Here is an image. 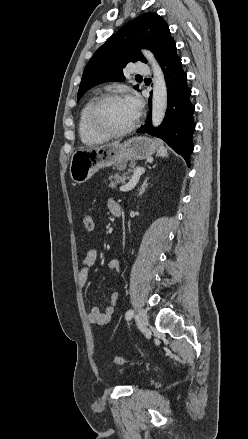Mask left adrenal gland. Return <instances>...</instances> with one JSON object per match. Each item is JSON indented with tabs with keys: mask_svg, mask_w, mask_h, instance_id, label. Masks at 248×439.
Segmentation results:
<instances>
[{
	"mask_svg": "<svg viewBox=\"0 0 248 439\" xmlns=\"http://www.w3.org/2000/svg\"><path fill=\"white\" fill-rule=\"evenodd\" d=\"M149 177H146L141 188L138 190V196L142 195L145 192L146 187L148 186Z\"/></svg>",
	"mask_w": 248,
	"mask_h": 439,
	"instance_id": "a2214340",
	"label": "left adrenal gland"
}]
</instances>
